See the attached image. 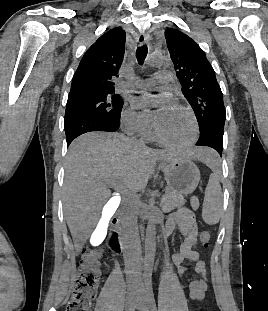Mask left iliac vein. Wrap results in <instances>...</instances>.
Returning a JSON list of instances; mask_svg holds the SVG:
<instances>
[{
    "label": "left iliac vein",
    "instance_id": "obj_1",
    "mask_svg": "<svg viewBox=\"0 0 268 311\" xmlns=\"http://www.w3.org/2000/svg\"><path fill=\"white\" fill-rule=\"evenodd\" d=\"M135 306L140 311H149V299L147 294V287L145 286L144 283H141L139 287Z\"/></svg>",
    "mask_w": 268,
    "mask_h": 311
}]
</instances>
